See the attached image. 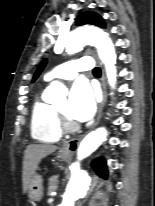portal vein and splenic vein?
Segmentation results:
<instances>
[{
  "label": "portal vein and splenic vein",
  "mask_w": 155,
  "mask_h": 206,
  "mask_svg": "<svg viewBox=\"0 0 155 206\" xmlns=\"http://www.w3.org/2000/svg\"><path fill=\"white\" fill-rule=\"evenodd\" d=\"M53 201H54V198H53V197H51V198L48 199V202H49V203H51V202H53Z\"/></svg>",
  "instance_id": "1"
}]
</instances>
